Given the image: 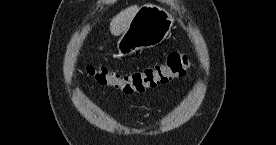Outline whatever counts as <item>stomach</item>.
I'll list each match as a JSON object with an SVG mask.
<instances>
[{
  "label": "stomach",
  "mask_w": 276,
  "mask_h": 145,
  "mask_svg": "<svg viewBox=\"0 0 276 145\" xmlns=\"http://www.w3.org/2000/svg\"><path fill=\"white\" fill-rule=\"evenodd\" d=\"M173 26L169 12L153 4H144L136 12L128 29L117 42L120 56L151 48L166 39Z\"/></svg>",
  "instance_id": "obj_1"
}]
</instances>
